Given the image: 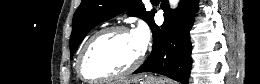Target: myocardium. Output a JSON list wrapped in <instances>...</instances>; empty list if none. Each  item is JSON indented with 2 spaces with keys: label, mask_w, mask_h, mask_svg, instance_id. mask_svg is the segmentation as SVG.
Here are the masks:
<instances>
[{
  "label": "myocardium",
  "mask_w": 260,
  "mask_h": 84,
  "mask_svg": "<svg viewBox=\"0 0 260 84\" xmlns=\"http://www.w3.org/2000/svg\"><path fill=\"white\" fill-rule=\"evenodd\" d=\"M109 32H122L125 34H132V31L124 26V25H110V26H106L103 27L101 29H99L98 31H96L95 33H93L88 40L85 42L83 48L81 49L79 55H78V59H77V73L79 75V77L86 81V82H90V83H104V82H108V81H112L115 79H119L122 78L126 75H129L130 73L134 72L136 69H138L140 67V65L143 63L144 61V57L145 54L144 52H141L140 55L138 56V58L135 60V62L130 65L128 68H126L125 70L119 72V73H114V74H110L107 76H103V77H99V78H91L85 75L84 73V61L86 58L87 53L89 52L90 48L92 47L93 43L96 41L97 38H99L101 35L105 34V33H109Z\"/></svg>",
  "instance_id": "f54148a6"
}]
</instances>
